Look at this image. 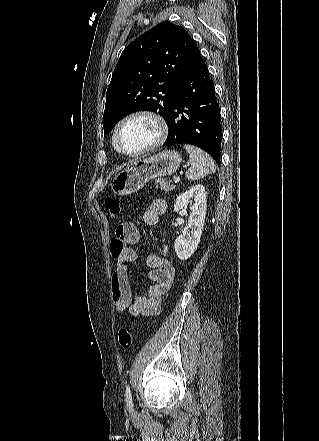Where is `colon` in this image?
<instances>
[{
  "instance_id": "obj_1",
  "label": "colon",
  "mask_w": 319,
  "mask_h": 441,
  "mask_svg": "<svg viewBox=\"0 0 319 441\" xmlns=\"http://www.w3.org/2000/svg\"><path fill=\"white\" fill-rule=\"evenodd\" d=\"M105 207L112 219H117L122 213L121 202L118 197H107ZM118 342L124 349H128L133 344V330L123 327L118 331Z\"/></svg>"
}]
</instances>
